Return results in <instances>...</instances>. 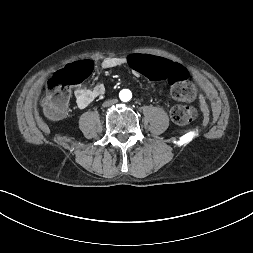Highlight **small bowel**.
Returning a JSON list of instances; mask_svg holds the SVG:
<instances>
[{
	"label": "small bowel",
	"instance_id": "c3829d8e",
	"mask_svg": "<svg viewBox=\"0 0 253 253\" xmlns=\"http://www.w3.org/2000/svg\"><path fill=\"white\" fill-rule=\"evenodd\" d=\"M130 57L131 56L128 57L109 56L102 60L101 66L104 69H112L120 66H129ZM104 92L105 87L102 84H97L92 88L80 87L76 89L74 92L76 104L79 108H86L96 98L103 95Z\"/></svg>",
	"mask_w": 253,
	"mask_h": 253
}]
</instances>
